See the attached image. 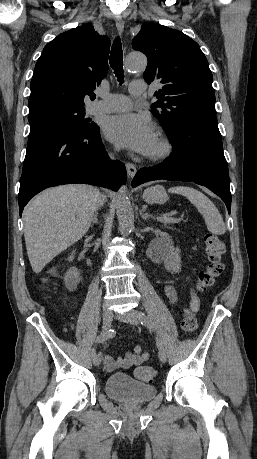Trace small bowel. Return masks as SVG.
Instances as JSON below:
<instances>
[{"mask_svg": "<svg viewBox=\"0 0 257 459\" xmlns=\"http://www.w3.org/2000/svg\"><path fill=\"white\" fill-rule=\"evenodd\" d=\"M164 292L169 303L174 306L178 302V293L175 287L169 282L164 283ZM190 307L194 312H198L200 308V300L198 296L191 290V301ZM149 353L143 351L142 347L137 345L131 352H128L124 357L114 359L110 355L104 356L105 369L109 372H112L118 368H129L132 366H138L144 361L148 360Z\"/></svg>", "mask_w": 257, "mask_h": 459, "instance_id": "obj_1", "label": "small bowel"}]
</instances>
